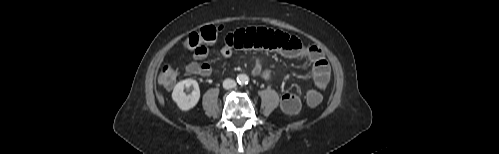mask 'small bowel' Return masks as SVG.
I'll use <instances>...</instances> for the list:
<instances>
[{
  "label": "small bowel",
  "mask_w": 499,
  "mask_h": 154,
  "mask_svg": "<svg viewBox=\"0 0 499 154\" xmlns=\"http://www.w3.org/2000/svg\"><path fill=\"white\" fill-rule=\"evenodd\" d=\"M261 49L280 53L286 58L306 60L312 63V76L318 89H325L330 79V65L323 51L315 45H304L295 36H290L281 31L263 27H249L229 33L221 49L224 58L232 56L235 50ZM209 53L206 45H201L194 51V61L186 66L187 73L208 77L212 68L208 63H200ZM253 73L261 74L264 78L270 77V71L263 67V60L257 59L253 65ZM281 109L290 115L296 114L301 109V100L294 93H285L280 100Z\"/></svg>",
  "instance_id": "obj_1"
}]
</instances>
